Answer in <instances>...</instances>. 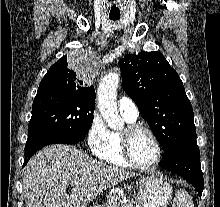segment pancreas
Listing matches in <instances>:
<instances>
[{"label":"pancreas","instance_id":"obj_1","mask_svg":"<svg viewBox=\"0 0 220 207\" xmlns=\"http://www.w3.org/2000/svg\"><path fill=\"white\" fill-rule=\"evenodd\" d=\"M98 207H139L135 201L123 202L117 196H108L107 201Z\"/></svg>","mask_w":220,"mask_h":207}]
</instances>
